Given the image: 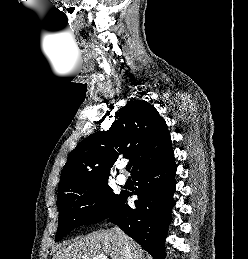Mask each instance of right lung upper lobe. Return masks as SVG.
Wrapping results in <instances>:
<instances>
[{
  "label": "right lung upper lobe",
  "instance_id": "cb5924a9",
  "mask_svg": "<svg viewBox=\"0 0 248 259\" xmlns=\"http://www.w3.org/2000/svg\"><path fill=\"white\" fill-rule=\"evenodd\" d=\"M173 152L165 120L146 101H129L116 113L108 131L81 141L65 164L58 197L71 190L108 181L110 168L121 158L133 164L131 174Z\"/></svg>",
  "mask_w": 248,
  "mask_h": 259
}]
</instances>
